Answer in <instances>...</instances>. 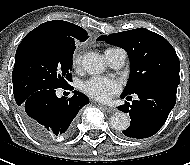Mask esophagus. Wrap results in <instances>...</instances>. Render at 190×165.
<instances>
[{
    "instance_id": "1",
    "label": "esophagus",
    "mask_w": 190,
    "mask_h": 165,
    "mask_svg": "<svg viewBox=\"0 0 190 165\" xmlns=\"http://www.w3.org/2000/svg\"><path fill=\"white\" fill-rule=\"evenodd\" d=\"M101 107H103V109L108 112V113H114L116 112V109L113 108V107H109V106H103V105H100Z\"/></svg>"
}]
</instances>
